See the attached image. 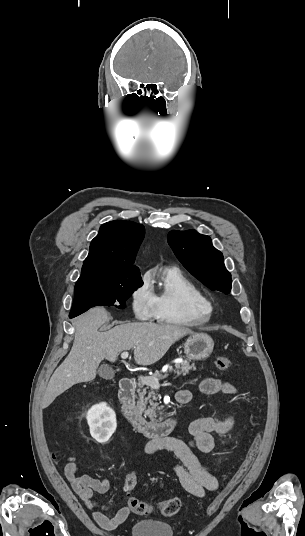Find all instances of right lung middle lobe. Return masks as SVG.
Listing matches in <instances>:
<instances>
[{
  "label": "right lung middle lobe",
  "mask_w": 305,
  "mask_h": 536,
  "mask_svg": "<svg viewBox=\"0 0 305 536\" xmlns=\"http://www.w3.org/2000/svg\"><path fill=\"white\" fill-rule=\"evenodd\" d=\"M142 284L141 277H80L74 288V302L70 314L80 315L91 307L112 306L115 303H119V308L123 309L125 301Z\"/></svg>",
  "instance_id": "right-lung-middle-lobe-1"
}]
</instances>
